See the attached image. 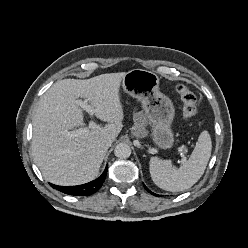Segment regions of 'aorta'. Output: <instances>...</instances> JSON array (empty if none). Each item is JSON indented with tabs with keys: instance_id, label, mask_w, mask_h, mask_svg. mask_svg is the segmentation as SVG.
<instances>
[{
	"instance_id": "obj_1",
	"label": "aorta",
	"mask_w": 248,
	"mask_h": 248,
	"mask_svg": "<svg viewBox=\"0 0 248 248\" xmlns=\"http://www.w3.org/2000/svg\"><path fill=\"white\" fill-rule=\"evenodd\" d=\"M114 154L118 158H128L131 155V148L126 143H119L114 149Z\"/></svg>"
}]
</instances>
